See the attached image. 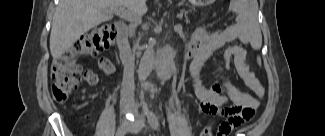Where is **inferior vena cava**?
<instances>
[{"instance_id": "602c4592", "label": "inferior vena cava", "mask_w": 325, "mask_h": 136, "mask_svg": "<svg viewBox=\"0 0 325 136\" xmlns=\"http://www.w3.org/2000/svg\"><path fill=\"white\" fill-rule=\"evenodd\" d=\"M134 76H133V67L132 63L127 64L124 67L123 79H122V96L130 100H133L134 97Z\"/></svg>"}]
</instances>
